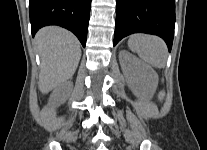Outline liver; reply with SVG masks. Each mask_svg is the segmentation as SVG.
<instances>
[{"instance_id": "obj_1", "label": "liver", "mask_w": 207, "mask_h": 150, "mask_svg": "<svg viewBox=\"0 0 207 150\" xmlns=\"http://www.w3.org/2000/svg\"><path fill=\"white\" fill-rule=\"evenodd\" d=\"M40 59L39 90L46 94L70 79L81 57L80 43L69 31L48 26L35 36Z\"/></svg>"}]
</instances>
